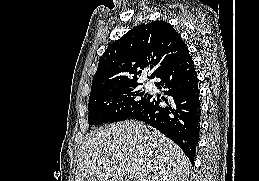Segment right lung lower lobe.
<instances>
[{
    "label": "right lung lower lobe",
    "mask_w": 259,
    "mask_h": 181,
    "mask_svg": "<svg viewBox=\"0 0 259 181\" xmlns=\"http://www.w3.org/2000/svg\"><path fill=\"white\" fill-rule=\"evenodd\" d=\"M156 78L159 88L171 98L166 107L151 95L147 104L131 118L146 122L173 140L193 164L200 130V101L197 73L194 62L186 53L182 58L163 70Z\"/></svg>",
    "instance_id": "obj_1"
}]
</instances>
